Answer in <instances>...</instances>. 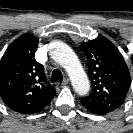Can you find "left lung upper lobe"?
<instances>
[{
    "label": "left lung upper lobe",
    "mask_w": 133,
    "mask_h": 133,
    "mask_svg": "<svg viewBox=\"0 0 133 133\" xmlns=\"http://www.w3.org/2000/svg\"><path fill=\"white\" fill-rule=\"evenodd\" d=\"M88 59L91 93L81 98L88 110L101 114L119 108L131 84L129 69L117 47L99 37L81 45Z\"/></svg>",
    "instance_id": "left-lung-upper-lobe-1"
}]
</instances>
